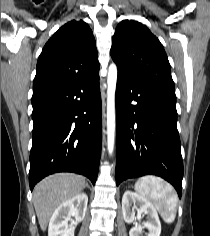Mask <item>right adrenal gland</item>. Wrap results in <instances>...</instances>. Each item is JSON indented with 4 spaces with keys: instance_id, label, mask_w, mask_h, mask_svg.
<instances>
[{
    "instance_id": "obj_1",
    "label": "right adrenal gland",
    "mask_w": 210,
    "mask_h": 236,
    "mask_svg": "<svg viewBox=\"0 0 210 236\" xmlns=\"http://www.w3.org/2000/svg\"><path fill=\"white\" fill-rule=\"evenodd\" d=\"M85 187H87L88 189L91 190L90 186L88 185V183H86Z\"/></svg>"
}]
</instances>
